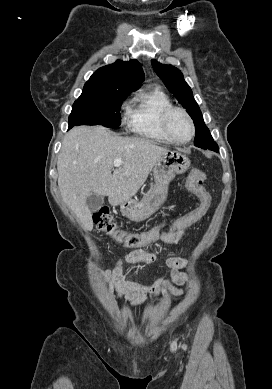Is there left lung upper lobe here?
I'll use <instances>...</instances> for the list:
<instances>
[{
  "instance_id": "left-lung-upper-lobe-1",
  "label": "left lung upper lobe",
  "mask_w": 272,
  "mask_h": 389,
  "mask_svg": "<svg viewBox=\"0 0 272 389\" xmlns=\"http://www.w3.org/2000/svg\"><path fill=\"white\" fill-rule=\"evenodd\" d=\"M151 63L154 71L163 80L167 89L174 94L193 119L196 130L194 145L199 148L214 150L213 148L217 146V143L214 142L209 129L204 124L200 108L193 97L191 88L185 82L182 72L172 65L161 64L155 59Z\"/></svg>"
}]
</instances>
